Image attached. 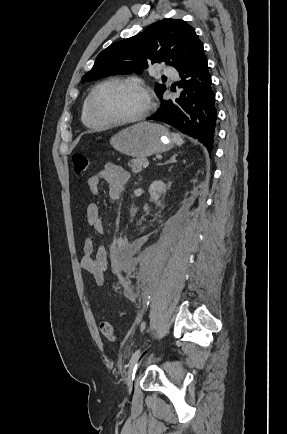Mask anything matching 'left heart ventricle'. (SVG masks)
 I'll return each instance as SVG.
<instances>
[{"instance_id": "obj_1", "label": "left heart ventricle", "mask_w": 287, "mask_h": 434, "mask_svg": "<svg viewBox=\"0 0 287 434\" xmlns=\"http://www.w3.org/2000/svg\"><path fill=\"white\" fill-rule=\"evenodd\" d=\"M147 103V97L141 90L118 84L104 86L94 100L97 113L108 119L136 116L146 108Z\"/></svg>"}]
</instances>
